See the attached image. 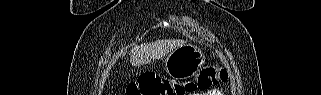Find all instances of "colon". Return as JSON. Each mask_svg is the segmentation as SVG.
I'll list each match as a JSON object with an SVG mask.
<instances>
[{
  "instance_id": "colon-1",
  "label": "colon",
  "mask_w": 321,
  "mask_h": 95,
  "mask_svg": "<svg viewBox=\"0 0 321 95\" xmlns=\"http://www.w3.org/2000/svg\"><path fill=\"white\" fill-rule=\"evenodd\" d=\"M228 79L224 69L202 68L195 80L175 82L159 75H143L127 88L128 95H185L198 90H207L218 82Z\"/></svg>"
}]
</instances>
